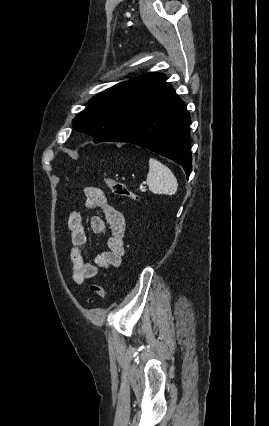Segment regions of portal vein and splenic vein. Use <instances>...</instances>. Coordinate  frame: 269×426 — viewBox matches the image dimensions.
<instances>
[{"mask_svg": "<svg viewBox=\"0 0 269 426\" xmlns=\"http://www.w3.org/2000/svg\"><path fill=\"white\" fill-rule=\"evenodd\" d=\"M146 189L145 188H141V191L144 192Z\"/></svg>", "mask_w": 269, "mask_h": 426, "instance_id": "portal-vein-and-splenic-vein-1", "label": "portal vein and splenic vein"}]
</instances>
